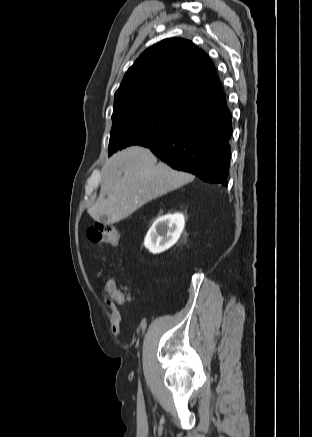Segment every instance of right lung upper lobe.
<instances>
[{"label": "right lung upper lobe", "mask_w": 312, "mask_h": 437, "mask_svg": "<svg viewBox=\"0 0 312 437\" xmlns=\"http://www.w3.org/2000/svg\"><path fill=\"white\" fill-rule=\"evenodd\" d=\"M223 96L207 54L191 41L172 38L145 50L128 69L115 93L114 111L161 102L195 112Z\"/></svg>", "instance_id": "cb5924a9"}]
</instances>
